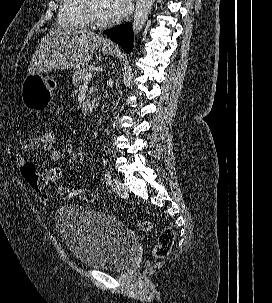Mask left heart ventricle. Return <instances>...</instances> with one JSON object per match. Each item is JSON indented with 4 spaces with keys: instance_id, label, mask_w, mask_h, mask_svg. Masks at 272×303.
Here are the masks:
<instances>
[{
    "instance_id": "obj_1",
    "label": "left heart ventricle",
    "mask_w": 272,
    "mask_h": 303,
    "mask_svg": "<svg viewBox=\"0 0 272 303\" xmlns=\"http://www.w3.org/2000/svg\"><path fill=\"white\" fill-rule=\"evenodd\" d=\"M93 7L97 16L102 20H106L104 15V0H93Z\"/></svg>"
}]
</instances>
